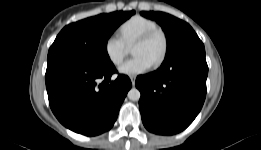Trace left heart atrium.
Wrapping results in <instances>:
<instances>
[{
  "label": "left heart atrium",
  "instance_id": "obj_1",
  "mask_svg": "<svg viewBox=\"0 0 261 150\" xmlns=\"http://www.w3.org/2000/svg\"><path fill=\"white\" fill-rule=\"evenodd\" d=\"M152 62L143 55H135L119 67V72L129 76H136L147 72Z\"/></svg>",
  "mask_w": 261,
  "mask_h": 150
}]
</instances>
